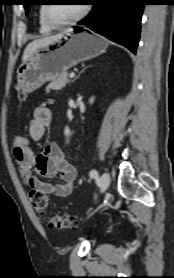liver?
Here are the masks:
<instances>
[{"label":"liver","mask_w":174,"mask_h":278,"mask_svg":"<svg viewBox=\"0 0 174 278\" xmlns=\"http://www.w3.org/2000/svg\"><path fill=\"white\" fill-rule=\"evenodd\" d=\"M68 31H70V30H66L65 32H68ZM62 34L63 33H59V34H56L53 36L44 37V38L37 39V40L30 42L24 50L22 60L24 61L27 58H29L38 48L48 45V44L52 43L53 41L57 40L58 38H60L62 36Z\"/></svg>","instance_id":"liver-1"}]
</instances>
